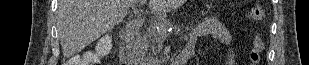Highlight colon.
Listing matches in <instances>:
<instances>
[{
	"label": "colon",
	"mask_w": 309,
	"mask_h": 65,
	"mask_svg": "<svg viewBox=\"0 0 309 65\" xmlns=\"http://www.w3.org/2000/svg\"><path fill=\"white\" fill-rule=\"evenodd\" d=\"M265 10L259 2H255L250 9L249 17L253 21H261L264 19ZM111 40L100 39L93 51H84L80 56L72 59V63L76 65H93L107 56L111 51ZM264 49V40L261 36H255L252 41V50L250 52V61L252 65H257L261 58V53Z\"/></svg>",
	"instance_id": "colon-1"
}]
</instances>
